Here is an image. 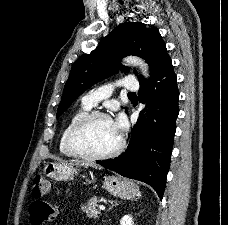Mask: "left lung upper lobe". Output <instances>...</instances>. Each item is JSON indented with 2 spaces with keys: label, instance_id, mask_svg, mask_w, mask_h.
<instances>
[{
  "label": "left lung upper lobe",
  "instance_id": "5c2ea615",
  "mask_svg": "<svg viewBox=\"0 0 228 225\" xmlns=\"http://www.w3.org/2000/svg\"><path fill=\"white\" fill-rule=\"evenodd\" d=\"M127 55L143 58L149 65L151 76L168 56L157 28H148L141 22L120 24L100 41L94 51L75 61L64 87L57 117L96 82L117 73L119 69L129 72L130 69L120 63V59ZM139 80L140 83L145 81L142 76H139Z\"/></svg>",
  "mask_w": 228,
  "mask_h": 225
}]
</instances>
